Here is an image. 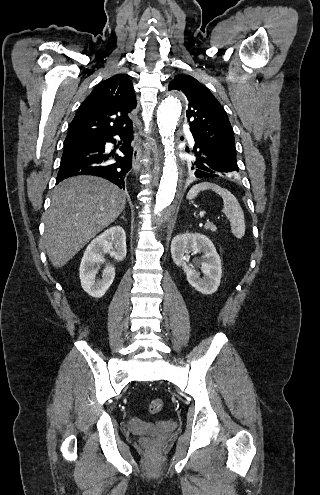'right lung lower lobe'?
Wrapping results in <instances>:
<instances>
[{"instance_id": "obj_1", "label": "right lung lower lobe", "mask_w": 320, "mask_h": 495, "mask_svg": "<svg viewBox=\"0 0 320 495\" xmlns=\"http://www.w3.org/2000/svg\"><path fill=\"white\" fill-rule=\"evenodd\" d=\"M132 134L133 127L131 126L91 140L65 143L56 184L75 175H94L105 178L124 189V179L132 168ZM116 135L124 140L120 148L124 157L105 152V144L115 143L113 137ZM110 156L114 157L115 163L109 162Z\"/></svg>"}]
</instances>
